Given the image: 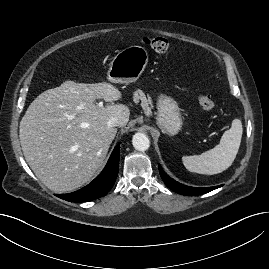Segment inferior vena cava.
<instances>
[{
  "instance_id": "obj_1",
  "label": "inferior vena cava",
  "mask_w": 269,
  "mask_h": 269,
  "mask_svg": "<svg viewBox=\"0 0 269 269\" xmlns=\"http://www.w3.org/2000/svg\"><path fill=\"white\" fill-rule=\"evenodd\" d=\"M120 123L121 121L118 117H112L108 120L107 125L110 128H114V127L120 126Z\"/></svg>"
}]
</instances>
